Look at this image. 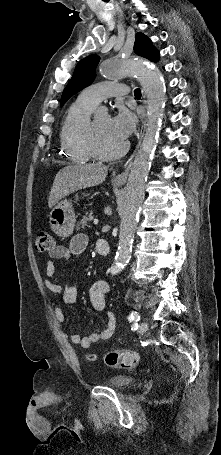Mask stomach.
<instances>
[{
  "label": "stomach",
  "instance_id": "stomach-1",
  "mask_svg": "<svg viewBox=\"0 0 221 455\" xmlns=\"http://www.w3.org/2000/svg\"><path fill=\"white\" fill-rule=\"evenodd\" d=\"M76 196V200L78 199ZM76 216L71 200L64 199L55 204L49 214L51 230L59 237L72 235L75 228Z\"/></svg>",
  "mask_w": 221,
  "mask_h": 455
}]
</instances>
